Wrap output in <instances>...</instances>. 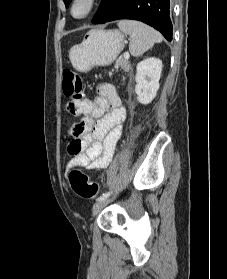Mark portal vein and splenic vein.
Segmentation results:
<instances>
[{
	"label": "portal vein and splenic vein",
	"instance_id": "obj_1",
	"mask_svg": "<svg viewBox=\"0 0 227 279\" xmlns=\"http://www.w3.org/2000/svg\"><path fill=\"white\" fill-rule=\"evenodd\" d=\"M124 58L126 59V60H128L129 58H130V55H129V53L128 52H124Z\"/></svg>",
	"mask_w": 227,
	"mask_h": 279
}]
</instances>
